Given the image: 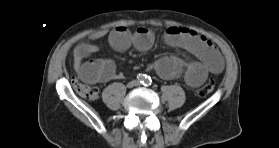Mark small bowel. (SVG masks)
<instances>
[{
  "label": "small bowel",
  "instance_id": "small-bowel-1",
  "mask_svg": "<svg viewBox=\"0 0 279 148\" xmlns=\"http://www.w3.org/2000/svg\"><path fill=\"white\" fill-rule=\"evenodd\" d=\"M108 35L111 46L117 51H124L133 46L139 51L149 50L154 43V33L148 27H140L131 32L125 27H117L110 33L94 32L90 41H96ZM165 42L175 48H180L196 60L185 62L173 55H166L155 60L150 70L156 71L165 79H173L184 73L186 83L191 87L201 85L208 75L219 74L224 68V61L213 43L193 30L171 26L164 35ZM98 50L92 42H82L73 51L74 67L78 76L89 84L106 83L121 77L114 63L109 59L85 61L87 57Z\"/></svg>",
  "mask_w": 279,
  "mask_h": 148
}]
</instances>
